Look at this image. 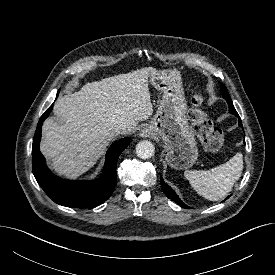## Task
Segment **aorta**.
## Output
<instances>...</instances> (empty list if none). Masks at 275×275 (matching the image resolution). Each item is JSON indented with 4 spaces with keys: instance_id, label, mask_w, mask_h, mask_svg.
<instances>
[{
    "instance_id": "762f6f07",
    "label": "aorta",
    "mask_w": 275,
    "mask_h": 275,
    "mask_svg": "<svg viewBox=\"0 0 275 275\" xmlns=\"http://www.w3.org/2000/svg\"><path fill=\"white\" fill-rule=\"evenodd\" d=\"M155 147L154 145L147 140L140 141L136 145V154L138 157L142 159H148L151 158L154 155Z\"/></svg>"
}]
</instances>
